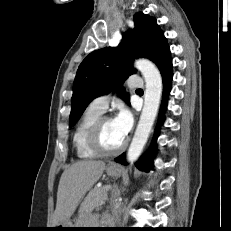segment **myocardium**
Returning <instances> with one entry per match:
<instances>
[{"instance_id":"1","label":"myocardium","mask_w":231,"mask_h":231,"mask_svg":"<svg viewBox=\"0 0 231 231\" xmlns=\"http://www.w3.org/2000/svg\"><path fill=\"white\" fill-rule=\"evenodd\" d=\"M112 120L109 116H100L94 124L91 126L88 132V144L90 148L99 155L111 156L120 153L123 151L127 144L128 140L125 139L121 145L113 149H107L103 146L101 142V131L105 121Z\"/></svg>"}]
</instances>
